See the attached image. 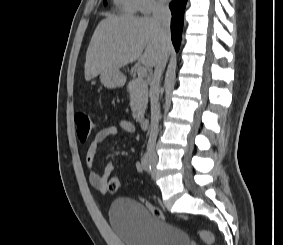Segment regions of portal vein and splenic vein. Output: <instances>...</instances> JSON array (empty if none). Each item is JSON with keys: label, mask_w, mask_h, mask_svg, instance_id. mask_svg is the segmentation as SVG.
<instances>
[{"label": "portal vein and splenic vein", "mask_w": 283, "mask_h": 245, "mask_svg": "<svg viewBox=\"0 0 283 245\" xmlns=\"http://www.w3.org/2000/svg\"><path fill=\"white\" fill-rule=\"evenodd\" d=\"M137 74L139 78H143L147 76V70L144 67H138L137 68Z\"/></svg>", "instance_id": "portal-vein-and-splenic-vein-1"}]
</instances>
